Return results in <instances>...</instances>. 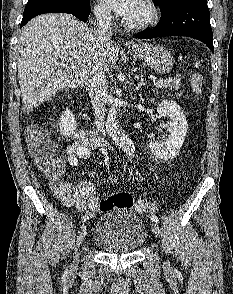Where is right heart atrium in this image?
I'll list each match as a JSON object with an SVG mask.
<instances>
[{
  "mask_svg": "<svg viewBox=\"0 0 233 294\" xmlns=\"http://www.w3.org/2000/svg\"><path fill=\"white\" fill-rule=\"evenodd\" d=\"M93 12L100 21H109L112 18L110 9L103 3L97 2L93 6Z\"/></svg>",
  "mask_w": 233,
  "mask_h": 294,
  "instance_id": "obj_1",
  "label": "right heart atrium"
}]
</instances>
